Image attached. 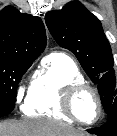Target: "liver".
Wrapping results in <instances>:
<instances>
[{"instance_id": "6515ba94", "label": "liver", "mask_w": 117, "mask_h": 136, "mask_svg": "<svg viewBox=\"0 0 117 136\" xmlns=\"http://www.w3.org/2000/svg\"><path fill=\"white\" fill-rule=\"evenodd\" d=\"M0 136H88L61 122L27 119L0 122Z\"/></svg>"}]
</instances>
